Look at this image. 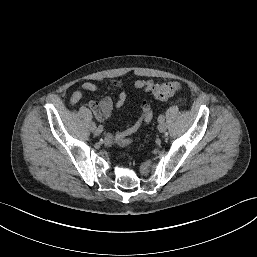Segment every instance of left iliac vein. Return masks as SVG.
I'll return each mask as SVG.
<instances>
[{
  "label": "left iliac vein",
  "instance_id": "4c4485c4",
  "mask_svg": "<svg viewBox=\"0 0 257 257\" xmlns=\"http://www.w3.org/2000/svg\"><path fill=\"white\" fill-rule=\"evenodd\" d=\"M166 128L167 127H166V124L164 122L159 123V125H158L159 132L164 133L166 131Z\"/></svg>",
  "mask_w": 257,
  "mask_h": 257
}]
</instances>
